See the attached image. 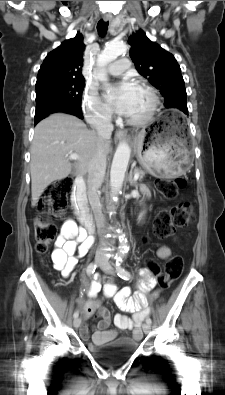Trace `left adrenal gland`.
<instances>
[{
	"label": "left adrenal gland",
	"instance_id": "left-adrenal-gland-1",
	"mask_svg": "<svg viewBox=\"0 0 225 395\" xmlns=\"http://www.w3.org/2000/svg\"><path fill=\"white\" fill-rule=\"evenodd\" d=\"M129 182L131 186H136L137 182L135 180H133V170H130V174H129Z\"/></svg>",
	"mask_w": 225,
	"mask_h": 395
}]
</instances>
